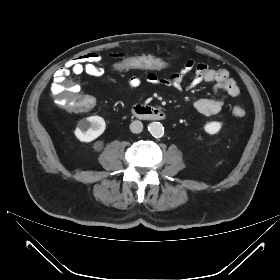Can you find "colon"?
I'll return each instance as SVG.
<instances>
[{"mask_svg": "<svg viewBox=\"0 0 280 280\" xmlns=\"http://www.w3.org/2000/svg\"><path fill=\"white\" fill-rule=\"evenodd\" d=\"M175 68V63L165 57L159 58L155 55L146 54H130L127 57L113 61L109 66L110 71L114 74L123 70L135 73L139 69L144 73H151L153 71L171 73ZM68 74V71L61 72L60 70L55 76L51 87L54 103L72 113H86L96 109L99 104L98 98L90 94L79 96L80 84L75 81H66L65 76ZM233 114L236 117H242L245 115V110L242 107H235Z\"/></svg>", "mask_w": 280, "mask_h": 280, "instance_id": "obj_1", "label": "colon"}]
</instances>
